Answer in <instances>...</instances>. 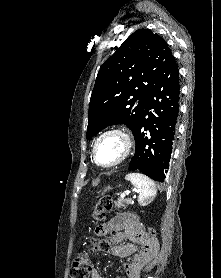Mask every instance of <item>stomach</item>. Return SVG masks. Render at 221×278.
Segmentation results:
<instances>
[{"instance_id": "1", "label": "stomach", "mask_w": 221, "mask_h": 278, "mask_svg": "<svg viewBox=\"0 0 221 278\" xmlns=\"http://www.w3.org/2000/svg\"><path fill=\"white\" fill-rule=\"evenodd\" d=\"M107 190H109V188H105V189H104V192H106Z\"/></svg>"}]
</instances>
